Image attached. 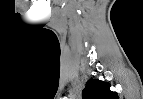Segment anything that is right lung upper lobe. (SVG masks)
I'll use <instances>...</instances> for the list:
<instances>
[{"label": "right lung upper lobe", "mask_w": 143, "mask_h": 99, "mask_svg": "<svg viewBox=\"0 0 143 99\" xmlns=\"http://www.w3.org/2000/svg\"><path fill=\"white\" fill-rule=\"evenodd\" d=\"M82 99H118L117 93L110 91V84L90 79L82 91Z\"/></svg>", "instance_id": "right-lung-upper-lobe-1"}]
</instances>
